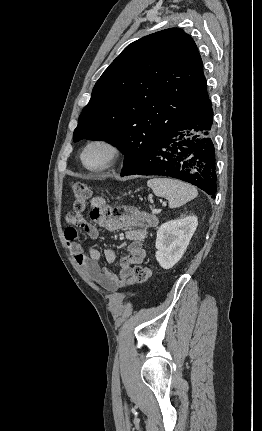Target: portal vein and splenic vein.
I'll list each match as a JSON object with an SVG mask.
<instances>
[{
	"label": "portal vein and splenic vein",
	"mask_w": 262,
	"mask_h": 431,
	"mask_svg": "<svg viewBox=\"0 0 262 431\" xmlns=\"http://www.w3.org/2000/svg\"><path fill=\"white\" fill-rule=\"evenodd\" d=\"M164 204H165V202H164ZM152 213H159V210L154 209V210H152Z\"/></svg>",
	"instance_id": "18ae733b"
}]
</instances>
